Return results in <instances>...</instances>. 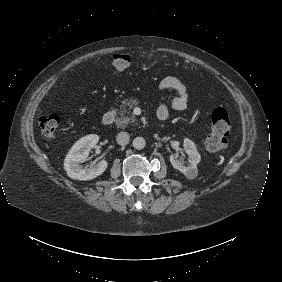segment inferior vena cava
Masks as SVG:
<instances>
[{"label":"inferior vena cava","instance_id":"inferior-vena-cava-1","mask_svg":"<svg viewBox=\"0 0 282 282\" xmlns=\"http://www.w3.org/2000/svg\"><path fill=\"white\" fill-rule=\"evenodd\" d=\"M116 139H117V143L119 145L125 146V145L128 144L130 136L127 132H120V133H118Z\"/></svg>","mask_w":282,"mask_h":282}]
</instances>
